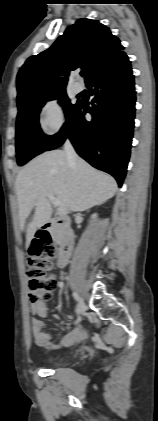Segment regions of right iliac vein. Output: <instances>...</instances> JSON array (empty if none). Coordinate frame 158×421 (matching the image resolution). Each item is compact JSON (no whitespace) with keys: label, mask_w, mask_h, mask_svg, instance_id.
Wrapping results in <instances>:
<instances>
[{"label":"right iliac vein","mask_w":158,"mask_h":421,"mask_svg":"<svg viewBox=\"0 0 158 421\" xmlns=\"http://www.w3.org/2000/svg\"><path fill=\"white\" fill-rule=\"evenodd\" d=\"M85 303L82 297L79 298L78 304H77V313L80 314L84 311Z\"/></svg>","instance_id":"right-iliac-vein-1"}]
</instances>
